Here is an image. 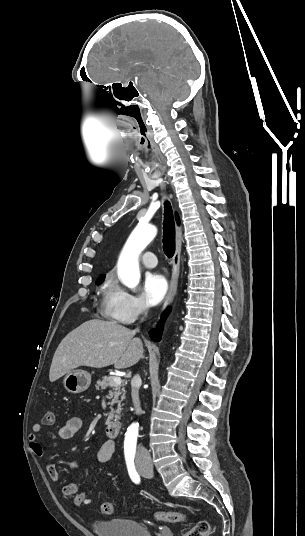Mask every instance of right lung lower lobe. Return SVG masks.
Segmentation results:
<instances>
[{
    "mask_svg": "<svg viewBox=\"0 0 305 536\" xmlns=\"http://www.w3.org/2000/svg\"><path fill=\"white\" fill-rule=\"evenodd\" d=\"M167 314H168V310L163 313L162 318H161L160 322L157 325V328L152 329L150 331V337L155 341H159L160 338H161V332H162V329H163V322H164Z\"/></svg>",
    "mask_w": 305,
    "mask_h": 536,
    "instance_id": "98d812e1",
    "label": "right lung lower lobe"
}]
</instances>
